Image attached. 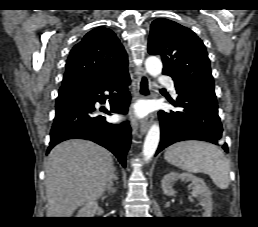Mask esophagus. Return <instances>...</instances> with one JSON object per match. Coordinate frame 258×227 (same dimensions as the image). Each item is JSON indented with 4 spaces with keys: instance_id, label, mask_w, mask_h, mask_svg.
<instances>
[{
    "instance_id": "esophagus-1",
    "label": "esophagus",
    "mask_w": 258,
    "mask_h": 227,
    "mask_svg": "<svg viewBox=\"0 0 258 227\" xmlns=\"http://www.w3.org/2000/svg\"><path fill=\"white\" fill-rule=\"evenodd\" d=\"M137 93L140 98H150L152 95L151 82L146 73H140L137 82ZM153 116L149 115L140 122V131L145 133L150 127Z\"/></svg>"
}]
</instances>
